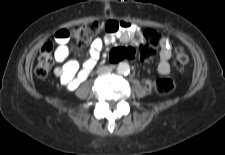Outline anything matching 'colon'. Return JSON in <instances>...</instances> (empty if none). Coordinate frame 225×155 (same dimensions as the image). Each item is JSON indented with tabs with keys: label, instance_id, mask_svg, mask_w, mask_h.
<instances>
[{
	"label": "colon",
	"instance_id": "colon-1",
	"mask_svg": "<svg viewBox=\"0 0 225 155\" xmlns=\"http://www.w3.org/2000/svg\"><path fill=\"white\" fill-rule=\"evenodd\" d=\"M72 39L79 47L87 46L100 32L101 27L97 22H89L77 25L72 29ZM160 44V37L156 30L146 29L143 32L142 42L139 48L135 46H114L107 55V60L111 64H116L123 59H135L139 57L142 60L151 59L157 47ZM54 46L51 41L45 42L38 56L35 72L39 78H46L52 70L54 65L53 56ZM189 63V56L186 50L178 45L174 50L173 65L176 69L181 70ZM145 88L158 95H167L175 89V82L172 79L164 78L158 80H146Z\"/></svg>",
	"mask_w": 225,
	"mask_h": 155
}]
</instances>
